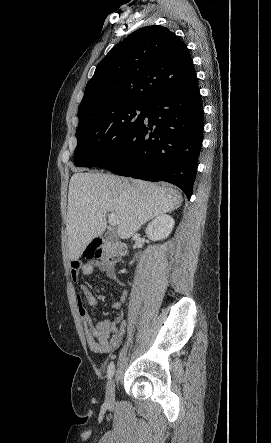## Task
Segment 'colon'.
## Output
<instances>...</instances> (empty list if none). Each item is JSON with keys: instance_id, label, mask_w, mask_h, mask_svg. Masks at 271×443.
<instances>
[{"instance_id": "1", "label": "colon", "mask_w": 271, "mask_h": 443, "mask_svg": "<svg viewBox=\"0 0 271 443\" xmlns=\"http://www.w3.org/2000/svg\"><path fill=\"white\" fill-rule=\"evenodd\" d=\"M127 248L121 242L92 241L84 252L86 259H101L107 264H114L126 254Z\"/></svg>"}]
</instances>
